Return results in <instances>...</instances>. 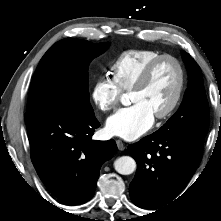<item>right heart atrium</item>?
Instances as JSON below:
<instances>
[{
    "mask_svg": "<svg viewBox=\"0 0 221 221\" xmlns=\"http://www.w3.org/2000/svg\"><path fill=\"white\" fill-rule=\"evenodd\" d=\"M122 91L115 82L102 76L98 78L91 89V99L94 105L104 113L114 111L120 102Z\"/></svg>",
    "mask_w": 221,
    "mask_h": 221,
    "instance_id": "d8ad5b80",
    "label": "right heart atrium"
}]
</instances>
